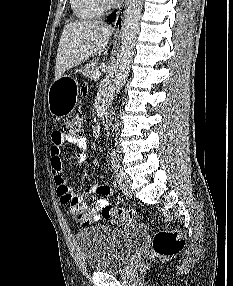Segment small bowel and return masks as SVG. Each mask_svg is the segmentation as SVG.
I'll return each instance as SVG.
<instances>
[{"label":"small bowel","mask_w":233,"mask_h":286,"mask_svg":"<svg viewBox=\"0 0 233 286\" xmlns=\"http://www.w3.org/2000/svg\"><path fill=\"white\" fill-rule=\"evenodd\" d=\"M65 144L74 145L80 150V152L76 154V163L79 167H84L88 163L87 155L85 153L88 144L85 137H61L56 131L52 134L50 149V166L55 184L57 186V194L60 198V201L62 204L68 206L67 213L70 215H75L78 222L85 226L99 219L97 211L103 207L108 206L106 197L111 194L112 188L110 185L105 183H98L91 186L86 192L87 195L98 196L99 199L92 206H88L86 202L81 199L79 195L73 190V188L68 184L64 177V164L62 160V154ZM72 200L78 201L76 208L70 207V202ZM90 208L92 210L91 218L89 222H86L83 218L78 216V213Z\"/></svg>","instance_id":"small-bowel-1"}]
</instances>
